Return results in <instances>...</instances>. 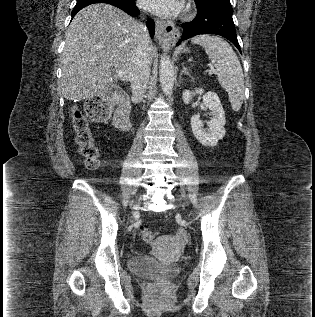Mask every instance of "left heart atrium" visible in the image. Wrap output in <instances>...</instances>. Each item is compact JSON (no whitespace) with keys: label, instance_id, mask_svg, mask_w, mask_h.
<instances>
[{"label":"left heart atrium","instance_id":"left-heart-atrium-1","mask_svg":"<svg viewBox=\"0 0 315 317\" xmlns=\"http://www.w3.org/2000/svg\"><path fill=\"white\" fill-rule=\"evenodd\" d=\"M139 5L154 14L160 16H172L181 8L180 0H139Z\"/></svg>","mask_w":315,"mask_h":317}]
</instances>
